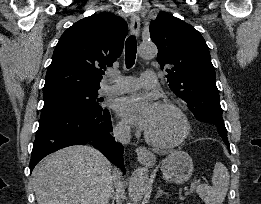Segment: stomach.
I'll list each match as a JSON object with an SVG mask.
<instances>
[{
    "label": "stomach",
    "mask_w": 261,
    "mask_h": 204,
    "mask_svg": "<svg viewBox=\"0 0 261 204\" xmlns=\"http://www.w3.org/2000/svg\"><path fill=\"white\" fill-rule=\"evenodd\" d=\"M161 171L166 181L184 183L193 173L192 158L184 151H174L164 160Z\"/></svg>",
    "instance_id": "1"
}]
</instances>
